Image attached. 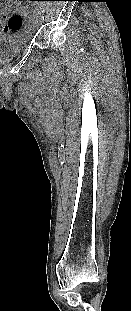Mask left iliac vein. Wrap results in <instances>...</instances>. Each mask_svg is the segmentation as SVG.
Instances as JSON below:
<instances>
[{"label":"left iliac vein","mask_w":131,"mask_h":311,"mask_svg":"<svg viewBox=\"0 0 131 311\" xmlns=\"http://www.w3.org/2000/svg\"><path fill=\"white\" fill-rule=\"evenodd\" d=\"M42 22V19H39V23H41Z\"/></svg>","instance_id":"left-iliac-vein-1"}]
</instances>
